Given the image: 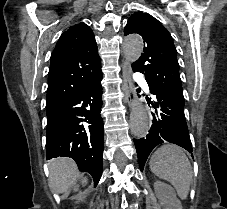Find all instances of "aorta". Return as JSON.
<instances>
[{
    "label": "aorta",
    "mask_w": 227,
    "mask_h": 209,
    "mask_svg": "<svg viewBox=\"0 0 227 209\" xmlns=\"http://www.w3.org/2000/svg\"><path fill=\"white\" fill-rule=\"evenodd\" d=\"M143 47V40L138 35H129L124 39V54L131 63L139 59L143 52ZM149 123L150 120L144 106L139 103L136 104L130 116L131 133L137 138L145 137L148 133Z\"/></svg>",
    "instance_id": "aorta-1"
}]
</instances>
